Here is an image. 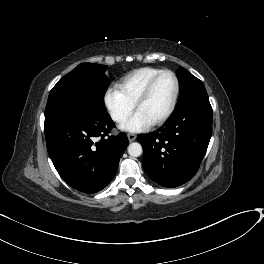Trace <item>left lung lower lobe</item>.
I'll use <instances>...</instances> for the list:
<instances>
[{"label": "left lung lower lobe", "instance_id": "0a47b994", "mask_svg": "<svg viewBox=\"0 0 264 264\" xmlns=\"http://www.w3.org/2000/svg\"><path fill=\"white\" fill-rule=\"evenodd\" d=\"M212 134V107L208 96L190 99L174 110L155 132L138 135L142 165L157 184L174 188L198 171Z\"/></svg>", "mask_w": 264, "mask_h": 264}]
</instances>
